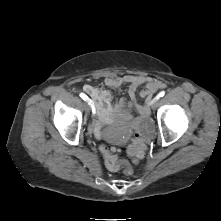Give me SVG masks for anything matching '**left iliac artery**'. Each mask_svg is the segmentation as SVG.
<instances>
[{
  "mask_svg": "<svg viewBox=\"0 0 221 221\" xmlns=\"http://www.w3.org/2000/svg\"><path fill=\"white\" fill-rule=\"evenodd\" d=\"M165 95L164 91H161L156 98L163 97Z\"/></svg>",
  "mask_w": 221,
  "mask_h": 221,
  "instance_id": "1",
  "label": "left iliac artery"
}]
</instances>
